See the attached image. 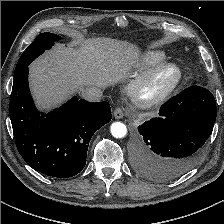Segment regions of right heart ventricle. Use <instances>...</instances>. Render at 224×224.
<instances>
[{
  "label": "right heart ventricle",
  "mask_w": 224,
  "mask_h": 224,
  "mask_svg": "<svg viewBox=\"0 0 224 224\" xmlns=\"http://www.w3.org/2000/svg\"><path fill=\"white\" fill-rule=\"evenodd\" d=\"M167 56L162 51L150 50L145 52L138 62V70L140 72L145 71L157 64L164 62Z\"/></svg>",
  "instance_id": "obj_1"
}]
</instances>
